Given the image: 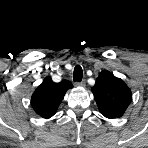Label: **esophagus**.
Segmentation results:
<instances>
[{
    "label": "esophagus",
    "instance_id": "1",
    "mask_svg": "<svg viewBox=\"0 0 148 148\" xmlns=\"http://www.w3.org/2000/svg\"><path fill=\"white\" fill-rule=\"evenodd\" d=\"M75 85L78 86V87H85L86 83L84 81L75 82Z\"/></svg>",
    "mask_w": 148,
    "mask_h": 148
}]
</instances>
